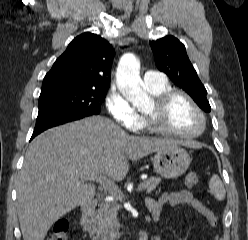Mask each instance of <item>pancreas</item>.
Segmentation results:
<instances>
[{
  "label": "pancreas",
  "mask_w": 248,
  "mask_h": 240,
  "mask_svg": "<svg viewBox=\"0 0 248 240\" xmlns=\"http://www.w3.org/2000/svg\"><path fill=\"white\" fill-rule=\"evenodd\" d=\"M161 182L158 177H150L143 182L147 193H151ZM117 200H122L123 195H115ZM119 205L108 202L99 206L96 213L90 215L88 230L93 240H115L119 236V221L117 219Z\"/></svg>",
  "instance_id": "obj_1"
}]
</instances>
